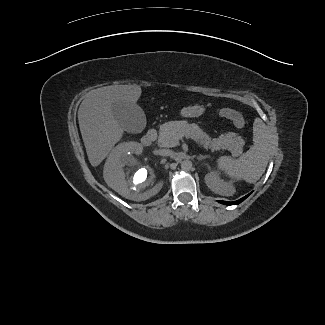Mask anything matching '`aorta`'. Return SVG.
I'll return each instance as SVG.
<instances>
[{"label":"aorta","mask_w":325,"mask_h":325,"mask_svg":"<svg viewBox=\"0 0 325 325\" xmlns=\"http://www.w3.org/2000/svg\"><path fill=\"white\" fill-rule=\"evenodd\" d=\"M180 166L182 170L189 171L192 168V162L190 160H183Z\"/></svg>","instance_id":"762f6f07"}]
</instances>
